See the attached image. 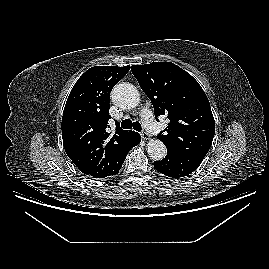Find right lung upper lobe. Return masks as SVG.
I'll return each instance as SVG.
<instances>
[{
    "label": "right lung upper lobe",
    "instance_id": "1",
    "mask_svg": "<svg viewBox=\"0 0 269 269\" xmlns=\"http://www.w3.org/2000/svg\"><path fill=\"white\" fill-rule=\"evenodd\" d=\"M130 66H94L75 83L62 117L63 145L78 169L94 178L116 175L122 166V146L129 131L107 132L110 92Z\"/></svg>",
    "mask_w": 269,
    "mask_h": 269
}]
</instances>
